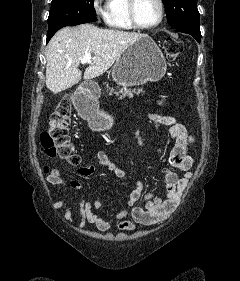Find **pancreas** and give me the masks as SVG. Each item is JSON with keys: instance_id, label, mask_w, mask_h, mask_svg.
Returning <instances> with one entry per match:
<instances>
[{"instance_id": "cf45deb5", "label": "pancreas", "mask_w": 240, "mask_h": 281, "mask_svg": "<svg viewBox=\"0 0 240 281\" xmlns=\"http://www.w3.org/2000/svg\"><path fill=\"white\" fill-rule=\"evenodd\" d=\"M140 93H144L143 89H127V88H121L119 91H115L114 88H109V95L112 96L113 94L119 95L126 97L128 96L129 98H132L135 94L139 95Z\"/></svg>"}]
</instances>
